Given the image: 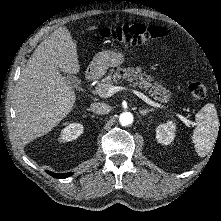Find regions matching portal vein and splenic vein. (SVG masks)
I'll use <instances>...</instances> for the list:
<instances>
[{"label": "portal vein and splenic vein", "instance_id": "obj_1", "mask_svg": "<svg viewBox=\"0 0 221 221\" xmlns=\"http://www.w3.org/2000/svg\"><path fill=\"white\" fill-rule=\"evenodd\" d=\"M122 90H127L130 91L131 93H133L134 95H136L137 97H139L140 99H142L144 102H146L147 104H149L150 106H153L155 108H164L163 105H161L160 103H157L153 100H151L149 97H147L146 95H144L142 92L133 89L131 87H125V86H111L104 94H100L101 97L103 98H108L112 95H114L115 93L122 91ZM177 117L182 120L184 123L191 125L192 122L188 119H186V117L180 115V114H176Z\"/></svg>", "mask_w": 221, "mask_h": 221}]
</instances>
